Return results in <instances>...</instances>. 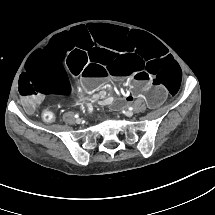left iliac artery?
<instances>
[{
    "instance_id": "1",
    "label": "left iliac artery",
    "mask_w": 215,
    "mask_h": 215,
    "mask_svg": "<svg viewBox=\"0 0 215 215\" xmlns=\"http://www.w3.org/2000/svg\"><path fill=\"white\" fill-rule=\"evenodd\" d=\"M128 109H129V110H133V107H132V106H130Z\"/></svg>"
}]
</instances>
